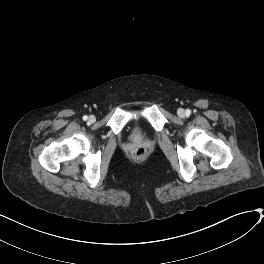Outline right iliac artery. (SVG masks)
I'll use <instances>...</instances> for the list:
<instances>
[{
    "instance_id": "1",
    "label": "right iliac artery",
    "mask_w": 264,
    "mask_h": 264,
    "mask_svg": "<svg viewBox=\"0 0 264 264\" xmlns=\"http://www.w3.org/2000/svg\"><path fill=\"white\" fill-rule=\"evenodd\" d=\"M88 119V116H83V120L86 121Z\"/></svg>"
}]
</instances>
